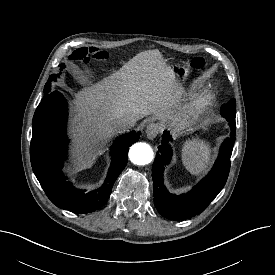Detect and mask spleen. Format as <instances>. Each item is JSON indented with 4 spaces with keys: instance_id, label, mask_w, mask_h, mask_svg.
Instances as JSON below:
<instances>
[{
    "instance_id": "spleen-1",
    "label": "spleen",
    "mask_w": 275,
    "mask_h": 275,
    "mask_svg": "<svg viewBox=\"0 0 275 275\" xmlns=\"http://www.w3.org/2000/svg\"><path fill=\"white\" fill-rule=\"evenodd\" d=\"M212 150L203 140L193 139L182 148V162L185 168L193 175L205 172L211 164Z\"/></svg>"
}]
</instances>
